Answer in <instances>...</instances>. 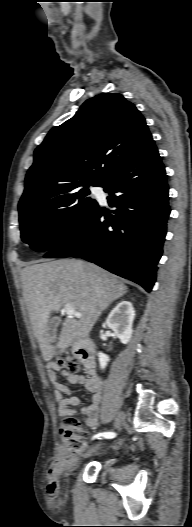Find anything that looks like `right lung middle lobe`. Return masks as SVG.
<instances>
[{
  "instance_id": "obj_1",
  "label": "right lung middle lobe",
  "mask_w": 192,
  "mask_h": 527,
  "mask_svg": "<svg viewBox=\"0 0 192 527\" xmlns=\"http://www.w3.org/2000/svg\"><path fill=\"white\" fill-rule=\"evenodd\" d=\"M89 185L82 184L48 200L19 206L22 240L35 251H49L69 238L97 204L89 196Z\"/></svg>"
}]
</instances>
